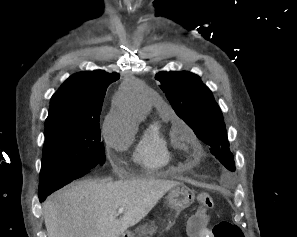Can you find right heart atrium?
<instances>
[{"instance_id":"right-heart-atrium-1","label":"right heart atrium","mask_w":297,"mask_h":237,"mask_svg":"<svg viewBox=\"0 0 297 237\" xmlns=\"http://www.w3.org/2000/svg\"><path fill=\"white\" fill-rule=\"evenodd\" d=\"M116 119L113 116H108L103 124L102 132L108 144L113 145L116 142L115 136Z\"/></svg>"}]
</instances>
